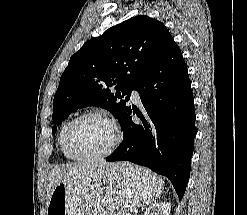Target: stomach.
I'll list each match as a JSON object with an SVG mask.
<instances>
[{
	"instance_id": "1",
	"label": "stomach",
	"mask_w": 247,
	"mask_h": 215,
	"mask_svg": "<svg viewBox=\"0 0 247 215\" xmlns=\"http://www.w3.org/2000/svg\"><path fill=\"white\" fill-rule=\"evenodd\" d=\"M162 189L163 181L147 169L114 163L82 187L59 183L47 203V215H108L116 209L146 206Z\"/></svg>"
}]
</instances>
